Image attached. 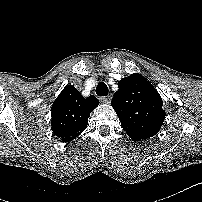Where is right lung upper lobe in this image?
Instances as JSON below:
<instances>
[{"label": "right lung upper lobe", "mask_w": 202, "mask_h": 202, "mask_svg": "<svg viewBox=\"0 0 202 202\" xmlns=\"http://www.w3.org/2000/svg\"><path fill=\"white\" fill-rule=\"evenodd\" d=\"M99 101L93 95L84 98L74 86H66L52 105V131L63 142H69L82 133L90 113Z\"/></svg>", "instance_id": "obj_1"}]
</instances>
